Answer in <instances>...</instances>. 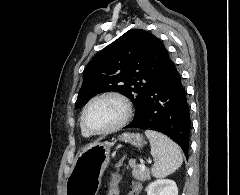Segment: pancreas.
Here are the masks:
<instances>
[{"label": "pancreas", "instance_id": "1", "mask_svg": "<svg viewBox=\"0 0 240 195\" xmlns=\"http://www.w3.org/2000/svg\"><path fill=\"white\" fill-rule=\"evenodd\" d=\"M135 161L136 159H129V165L132 167L133 177H135V179H139V181H146V179H150L149 167H146L144 171H142V169H137Z\"/></svg>", "mask_w": 240, "mask_h": 195}]
</instances>
